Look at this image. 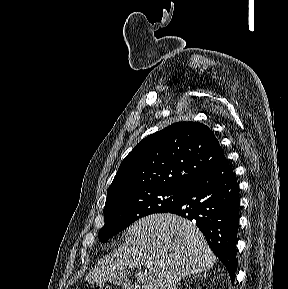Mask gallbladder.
I'll use <instances>...</instances> for the list:
<instances>
[{"instance_id": "1", "label": "gallbladder", "mask_w": 288, "mask_h": 289, "mask_svg": "<svg viewBox=\"0 0 288 289\" xmlns=\"http://www.w3.org/2000/svg\"><path fill=\"white\" fill-rule=\"evenodd\" d=\"M110 282L119 286H128V279L122 272L112 277Z\"/></svg>"}]
</instances>
